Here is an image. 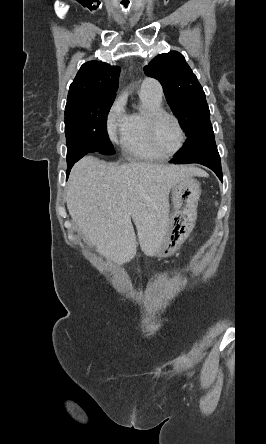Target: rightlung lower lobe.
<instances>
[{
	"mask_svg": "<svg viewBox=\"0 0 266 444\" xmlns=\"http://www.w3.org/2000/svg\"><path fill=\"white\" fill-rule=\"evenodd\" d=\"M78 160H76V161H73V162H70V163H67V178H68V176H69V173H70V170H71V168L73 167V165L77 162Z\"/></svg>",
	"mask_w": 266,
	"mask_h": 444,
	"instance_id": "obj_1",
	"label": "right lung lower lobe"
}]
</instances>
